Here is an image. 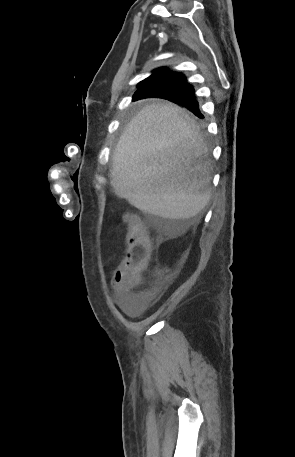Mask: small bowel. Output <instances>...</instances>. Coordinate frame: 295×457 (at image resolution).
<instances>
[{"mask_svg": "<svg viewBox=\"0 0 295 457\" xmlns=\"http://www.w3.org/2000/svg\"><path fill=\"white\" fill-rule=\"evenodd\" d=\"M117 293L118 303L121 309L129 315H137L145 311L150 305V298L145 295H135L131 291L124 289V279L118 276L117 271L112 281Z\"/></svg>", "mask_w": 295, "mask_h": 457, "instance_id": "c3829d8e", "label": "small bowel"}]
</instances>
